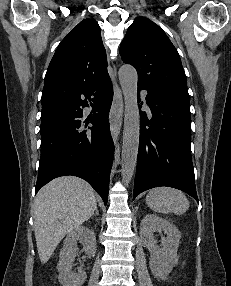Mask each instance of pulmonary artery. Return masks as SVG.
<instances>
[{
    "label": "pulmonary artery",
    "instance_id": "1",
    "mask_svg": "<svg viewBox=\"0 0 231 286\" xmlns=\"http://www.w3.org/2000/svg\"><path fill=\"white\" fill-rule=\"evenodd\" d=\"M141 94H142L143 99L146 100V92L142 91Z\"/></svg>",
    "mask_w": 231,
    "mask_h": 286
}]
</instances>
